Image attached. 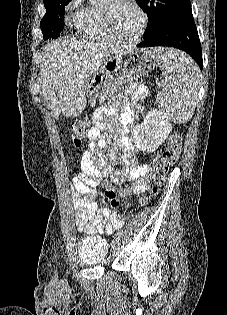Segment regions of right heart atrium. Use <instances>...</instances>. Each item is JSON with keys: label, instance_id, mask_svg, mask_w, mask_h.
<instances>
[{"label": "right heart atrium", "instance_id": "1", "mask_svg": "<svg viewBox=\"0 0 227 315\" xmlns=\"http://www.w3.org/2000/svg\"><path fill=\"white\" fill-rule=\"evenodd\" d=\"M81 0H71L68 4V9L76 8L80 4Z\"/></svg>", "mask_w": 227, "mask_h": 315}]
</instances>
